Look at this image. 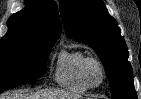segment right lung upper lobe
I'll use <instances>...</instances> for the list:
<instances>
[{"label": "right lung upper lobe", "instance_id": "cb5924a9", "mask_svg": "<svg viewBox=\"0 0 141 99\" xmlns=\"http://www.w3.org/2000/svg\"><path fill=\"white\" fill-rule=\"evenodd\" d=\"M27 7L8 20V32L2 39H27L55 43L61 35V24L54 2L27 0Z\"/></svg>", "mask_w": 141, "mask_h": 99}]
</instances>
